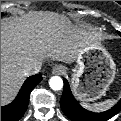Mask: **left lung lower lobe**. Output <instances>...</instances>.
<instances>
[{
	"mask_svg": "<svg viewBox=\"0 0 121 121\" xmlns=\"http://www.w3.org/2000/svg\"><path fill=\"white\" fill-rule=\"evenodd\" d=\"M118 33L121 36V33ZM63 80L64 89L60 99V106L63 113L72 121H107L121 111V100L110 110L102 113H94L84 109L74 98L67 80Z\"/></svg>",
	"mask_w": 121,
	"mask_h": 121,
	"instance_id": "left-lung-lower-lobe-1",
	"label": "left lung lower lobe"
}]
</instances>
